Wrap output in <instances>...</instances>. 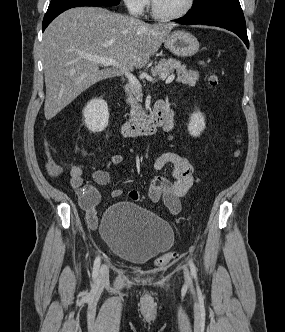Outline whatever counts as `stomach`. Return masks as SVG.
<instances>
[{
    "mask_svg": "<svg viewBox=\"0 0 285 332\" xmlns=\"http://www.w3.org/2000/svg\"><path fill=\"white\" fill-rule=\"evenodd\" d=\"M164 45L178 57H191L199 50V42L195 36L185 31H175L169 34Z\"/></svg>",
    "mask_w": 285,
    "mask_h": 332,
    "instance_id": "obj_1",
    "label": "stomach"
}]
</instances>
